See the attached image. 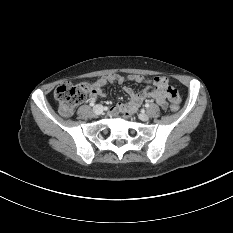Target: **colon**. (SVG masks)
<instances>
[{
  "label": "colon",
  "mask_w": 233,
  "mask_h": 233,
  "mask_svg": "<svg viewBox=\"0 0 233 233\" xmlns=\"http://www.w3.org/2000/svg\"><path fill=\"white\" fill-rule=\"evenodd\" d=\"M91 93V86L88 83H64L59 85L54 93L60 113L65 116H71L77 105L81 104ZM172 112L179 109L180 97L176 90L171 91Z\"/></svg>",
  "instance_id": "5ec220e1"
}]
</instances>
